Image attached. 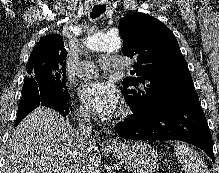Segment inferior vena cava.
Instances as JSON below:
<instances>
[{
  "label": "inferior vena cava",
  "instance_id": "1",
  "mask_svg": "<svg viewBox=\"0 0 219 173\" xmlns=\"http://www.w3.org/2000/svg\"><path fill=\"white\" fill-rule=\"evenodd\" d=\"M77 118L76 139L79 144L80 158L76 162L73 173H92L91 162L96 155L97 145L91 140V115L88 110L81 108L77 113Z\"/></svg>",
  "mask_w": 219,
  "mask_h": 173
}]
</instances>
